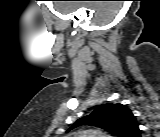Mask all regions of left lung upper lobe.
<instances>
[{
    "mask_svg": "<svg viewBox=\"0 0 160 137\" xmlns=\"http://www.w3.org/2000/svg\"><path fill=\"white\" fill-rule=\"evenodd\" d=\"M80 125L100 127L117 137H130L131 133L138 128L132 111L119 103L98 106L90 115L77 120L70 129Z\"/></svg>",
    "mask_w": 160,
    "mask_h": 137,
    "instance_id": "obj_1",
    "label": "left lung upper lobe"
}]
</instances>
